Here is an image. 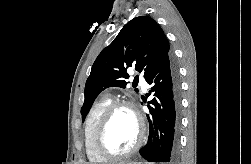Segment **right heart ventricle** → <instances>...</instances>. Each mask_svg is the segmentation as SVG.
<instances>
[{
  "label": "right heart ventricle",
  "instance_id": "right-heart-ventricle-1",
  "mask_svg": "<svg viewBox=\"0 0 251 164\" xmlns=\"http://www.w3.org/2000/svg\"><path fill=\"white\" fill-rule=\"evenodd\" d=\"M110 103L111 99L108 97L95 102L89 110L84 122L83 138L86 155L89 161L95 164L102 163L106 160L95 151L93 139L98 121Z\"/></svg>",
  "mask_w": 251,
  "mask_h": 164
}]
</instances>
